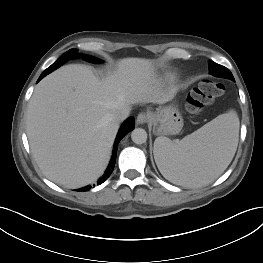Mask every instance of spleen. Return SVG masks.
Instances as JSON below:
<instances>
[{"instance_id":"obj_1","label":"spleen","mask_w":263,"mask_h":263,"mask_svg":"<svg viewBox=\"0 0 263 263\" xmlns=\"http://www.w3.org/2000/svg\"><path fill=\"white\" fill-rule=\"evenodd\" d=\"M239 118L235 111L217 116L180 141L157 137L154 158L161 174L184 187H201L216 180L237 150Z\"/></svg>"}]
</instances>
